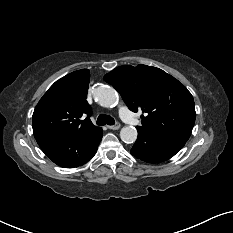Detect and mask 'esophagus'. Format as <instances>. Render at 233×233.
<instances>
[{"instance_id":"obj_1","label":"esophagus","mask_w":233,"mask_h":233,"mask_svg":"<svg viewBox=\"0 0 233 233\" xmlns=\"http://www.w3.org/2000/svg\"><path fill=\"white\" fill-rule=\"evenodd\" d=\"M120 123H115L114 125H109L108 128L111 130H118L120 128Z\"/></svg>"}]
</instances>
